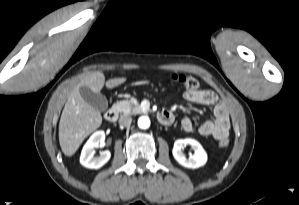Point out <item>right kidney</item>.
Masks as SVG:
<instances>
[{
  "mask_svg": "<svg viewBox=\"0 0 299 205\" xmlns=\"http://www.w3.org/2000/svg\"><path fill=\"white\" fill-rule=\"evenodd\" d=\"M104 140L105 133L101 130L94 132L88 139L80 156V163L84 167L89 169H99L109 161L111 157V153L109 151H103L98 157H94L95 148H97L100 143L104 142Z\"/></svg>",
  "mask_w": 299,
  "mask_h": 205,
  "instance_id": "obj_1",
  "label": "right kidney"
}]
</instances>
